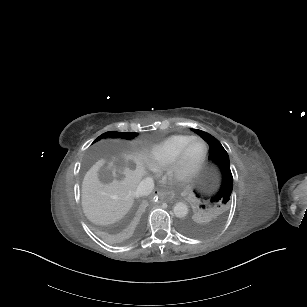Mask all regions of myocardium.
I'll return each mask as SVG.
<instances>
[{
  "label": "myocardium",
  "mask_w": 307,
  "mask_h": 307,
  "mask_svg": "<svg viewBox=\"0 0 307 307\" xmlns=\"http://www.w3.org/2000/svg\"><path fill=\"white\" fill-rule=\"evenodd\" d=\"M199 141L204 145V153L198 163L191 167H185V158L188 147L192 142ZM209 147L207 142L200 137H191L182 147L178 155L170 161L163 169L166 179H172L181 184L190 183L204 168L208 159Z\"/></svg>",
  "instance_id": "obj_1"
}]
</instances>
